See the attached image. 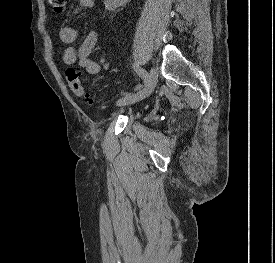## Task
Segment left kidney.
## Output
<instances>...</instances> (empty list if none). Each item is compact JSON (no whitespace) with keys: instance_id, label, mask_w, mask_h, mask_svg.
Returning a JSON list of instances; mask_svg holds the SVG:
<instances>
[{"instance_id":"1","label":"left kidney","mask_w":275,"mask_h":263,"mask_svg":"<svg viewBox=\"0 0 275 263\" xmlns=\"http://www.w3.org/2000/svg\"><path fill=\"white\" fill-rule=\"evenodd\" d=\"M129 0H104L105 9L112 11L121 5H124Z\"/></svg>"}]
</instances>
